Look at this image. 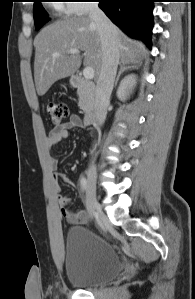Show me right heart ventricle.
<instances>
[{
    "label": "right heart ventricle",
    "instance_id": "obj_1",
    "mask_svg": "<svg viewBox=\"0 0 195 299\" xmlns=\"http://www.w3.org/2000/svg\"><path fill=\"white\" fill-rule=\"evenodd\" d=\"M57 8L60 10V11H63V12H65V5H63V4H59L58 6H57ZM66 13V12H65ZM68 14V13H67Z\"/></svg>",
    "mask_w": 195,
    "mask_h": 299
}]
</instances>
